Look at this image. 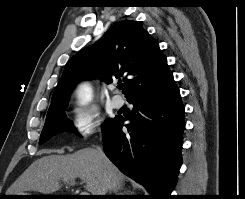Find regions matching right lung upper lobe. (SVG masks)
<instances>
[{"label":"right lung upper lobe","mask_w":245,"mask_h":199,"mask_svg":"<svg viewBox=\"0 0 245 199\" xmlns=\"http://www.w3.org/2000/svg\"><path fill=\"white\" fill-rule=\"evenodd\" d=\"M95 74L106 83L123 78L125 97L156 91L173 80L158 42L137 21L114 24L95 44L74 55L56 86L47 116L66 107L76 83Z\"/></svg>","instance_id":"obj_1"}]
</instances>
